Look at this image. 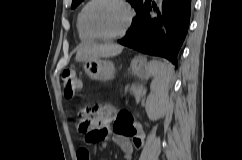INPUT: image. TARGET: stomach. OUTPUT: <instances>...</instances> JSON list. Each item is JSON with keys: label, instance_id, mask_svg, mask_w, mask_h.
<instances>
[{"label": "stomach", "instance_id": "1", "mask_svg": "<svg viewBox=\"0 0 242 160\" xmlns=\"http://www.w3.org/2000/svg\"><path fill=\"white\" fill-rule=\"evenodd\" d=\"M84 71L92 79L106 82L114 77L115 69L111 61L95 59L84 62ZM132 73L139 79L145 80L150 76L148 64L145 57L137 56L131 62Z\"/></svg>", "mask_w": 242, "mask_h": 160}]
</instances>
